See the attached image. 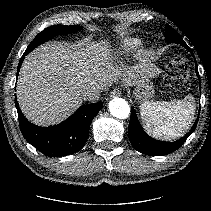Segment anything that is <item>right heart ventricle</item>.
I'll return each mask as SVG.
<instances>
[{"instance_id":"obj_1","label":"right heart ventricle","mask_w":211,"mask_h":211,"mask_svg":"<svg viewBox=\"0 0 211 211\" xmlns=\"http://www.w3.org/2000/svg\"><path fill=\"white\" fill-rule=\"evenodd\" d=\"M141 43V39L137 37H125L119 44V51L123 53L128 52L140 46Z\"/></svg>"}]
</instances>
